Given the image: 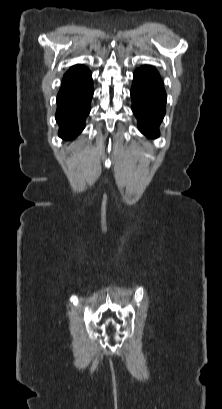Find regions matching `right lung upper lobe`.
Returning <instances> with one entry per match:
<instances>
[{
    "label": "right lung upper lobe",
    "mask_w": 222,
    "mask_h": 409,
    "mask_svg": "<svg viewBox=\"0 0 222 409\" xmlns=\"http://www.w3.org/2000/svg\"><path fill=\"white\" fill-rule=\"evenodd\" d=\"M86 71H88V69L85 68L84 66L76 65V66H73L72 68H70L67 73H83V72H86ZM65 86L66 85L62 82L61 89L64 88Z\"/></svg>",
    "instance_id": "cb5924a9"
}]
</instances>
